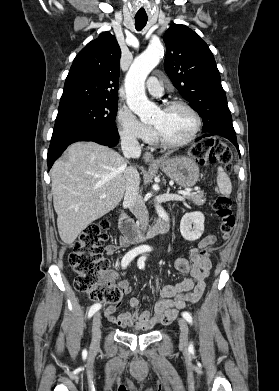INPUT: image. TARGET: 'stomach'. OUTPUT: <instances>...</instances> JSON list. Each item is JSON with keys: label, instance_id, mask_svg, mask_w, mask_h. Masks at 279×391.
Wrapping results in <instances>:
<instances>
[{"label": "stomach", "instance_id": "0dacf381", "mask_svg": "<svg viewBox=\"0 0 279 391\" xmlns=\"http://www.w3.org/2000/svg\"><path fill=\"white\" fill-rule=\"evenodd\" d=\"M158 166L170 179L185 188L194 186L199 179L198 165L186 156L163 157L158 161Z\"/></svg>", "mask_w": 279, "mask_h": 391}]
</instances>
